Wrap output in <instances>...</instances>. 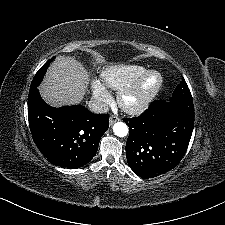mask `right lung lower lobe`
Returning <instances> with one entry per match:
<instances>
[{"mask_svg": "<svg viewBox=\"0 0 225 225\" xmlns=\"http://www.w3.org/2000/svg\"><path fill=\"white\" fill-rule=\"evenodd\" d=\"M28 120L41 153L54 165L69 169L80 168L95 156L109 127L107 114H93L81 105L50 107L37 88L29 92Z\"/></svg>", "mask_w": 225, "mask_h": 225, "instance_id": "1", "label": "right lung lower lobe"}]
</instances>
